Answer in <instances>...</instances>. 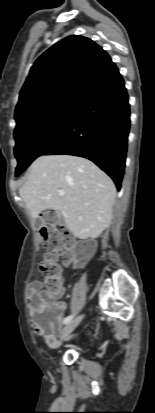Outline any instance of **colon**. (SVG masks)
I'll return each instance as SVG.
<instances>
[{"instance_id":"obj_1","label":"colon","mask_w":155,"mask_h":413,"mask_svg":"<svg viewBox=\"0 0 155 413\" xmlns=\"http://www.w3.org/2000/svg\"><path fill=\"white\" fill-rule=\"evenodd\" d=\"M44 226L41 229L43 245L48 250L47 254L40 262L41 272L44 277L46 289L52 293H58L62 289L63 277L58 258L63 251H66L67 261L75 260L84 263L91 254L90 246L85 242H76L75 239L66 231H61L56 225V215L51 211L43 213ZM38 306L41 307L46 302L45 296H38ZM54 314L52 308L41 309L39 320L42 324L46 323Z\"/></svg>"}]
</instances>
